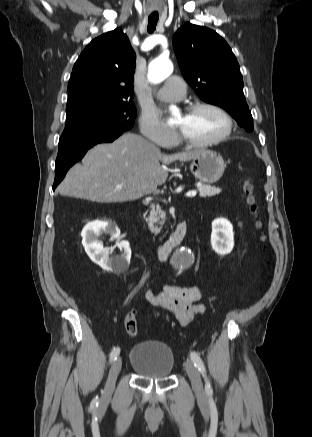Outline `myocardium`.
<instances>
[{
	"label": "myocardium",
	"instance_id": "f54148a6",
	"mask_svg": "<svg viewBox=\"0 0 312 437\" xmlns=\"http://www.w3.org/2000/svg\"><path fill=\"white\" fill-rule=\"evenodd\" d=\"M200 110H212L216 113H218L225 122V128L224 130L217 136L210 138L208 140H204V141H194L191 140L189 138H187L181 131L179 132V141L187 146H191V147H208L211 145H215L218 144L220 142H222L223 140H225L226 138H228L230 136V134L233 131V127H234V122H233V118L231 117V115L220 105L215 104V103H210V102H199V103H195L193 105H191L188 109V113H194Z\"/></svg>",
	"mask_w": 312,
	"mask_h": 437
}]
</instances>
